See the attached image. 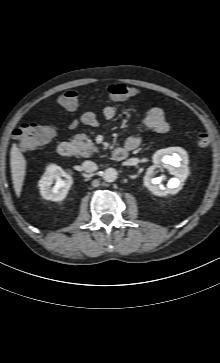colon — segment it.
<instances>
[{
  "mask_svg": "<svg viewBox=\"0 0 220 363\" xmlns=\"http://www.w3.org/2000/svg\"><path fill=\"white\" fill-rule=\"evenodd\" d=\"M140 90L124 83H116L108 86L107 95L113 101L125 100L136 97ZM80 96L75 90H68L62 93L57 102L68 110L75 109L79 105ZM55 135L52 127L38 122H27L21 124L14 131V137L22 150H30L49 142ZM193 141L199 147H206L209 144V136L206 132L197 131L193 134Z\"/></svg>",
  "mask_w": 220,
  "mask_h": 363,
  "instance_id": "5ec220e1",
  "label": "colon"
}]
</instances>
